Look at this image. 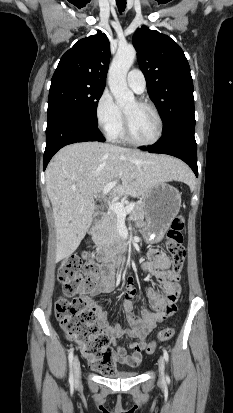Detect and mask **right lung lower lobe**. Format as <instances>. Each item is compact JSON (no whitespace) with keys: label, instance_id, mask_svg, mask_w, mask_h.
<instances>
[{"label":"right lung lower lobe","instance_id":"right-lung-lower-lobe-1","mask_svg":"<svg viewBox=\"0 0 233 413\" xmlns=\"http://www.w3.org/2000/svg\"><path fill=\"white\" fill-rule=\"evenodd\" d=\"M86 141L104 142L98 127L81 118L68 114H55L48 118L44 170L53 155L62 147Z\"/></svg>","mask_w":233,"mask_h":413}]
</instances>
